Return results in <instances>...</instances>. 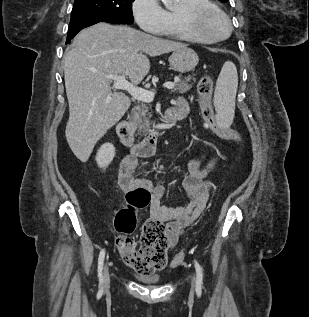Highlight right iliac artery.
I'll list each match as a JSON object with an SVG mask.
<instances>
[{"label":"right iliac artery","mask_w":309,"mask_h":317,"mask_svg":"<svg viewBox=\"0 0 309 317\" xmlns=\"http://www.w3.org/2000/svg\"><path fill=\"white\" fill-rule=\"evenodd\" d=\"M104 259H105V249H102L98 258V277H99L100 286H102L104 282V275H103Z\"/></svg>","instance_id":"82829eb1"}]
</instances>
